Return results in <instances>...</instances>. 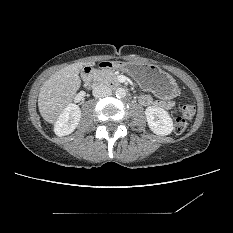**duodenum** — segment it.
<instances>
[{
  "mask_svg": "<svg viewBox=\"0 0 233 233\" xmlns=\"http://www.w3.org/2000/svg\"><path fill=\"white\" fill-rule=\"evenodd\" d=\"M116 67H117V63L115 61H105V62L99 63L96 67H88L82 73V76H81L82 81L86 85H91L93 74L97 69H103V68L113 69Z\"/></svg>",
  "mask_w": 233,
  "mask_h": 233,
  "instance_id": "duodenum-1",
  "label": "duodenum"
}]
</instances>
